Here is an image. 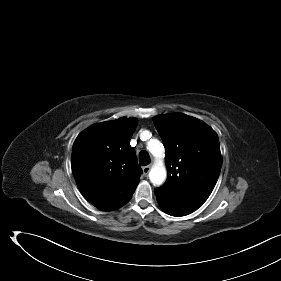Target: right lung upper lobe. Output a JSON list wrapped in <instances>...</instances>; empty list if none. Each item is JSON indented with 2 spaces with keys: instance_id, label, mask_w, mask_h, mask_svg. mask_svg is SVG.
Listing matches in <instances>:
<instances>
[{
  "instance_id": "right-lung-upper-lobe-1",
  "label": "right lung upper lobe",
  "mask_w": 281,
  "mask_h": 281,
  "mask_svg": "<svg viewBox=\"0 0 281 281\" xmlns=\"http://www.w3.org/2000/svg\"><path fill=\"white\" fill-rule=\"evenodd\" d=\"M137 124L135 118L95 124L73 144L71 167L77 186L99 210L122 207L139 183L142 170L129 143Z\"/></svg>"
}]
</instances>
